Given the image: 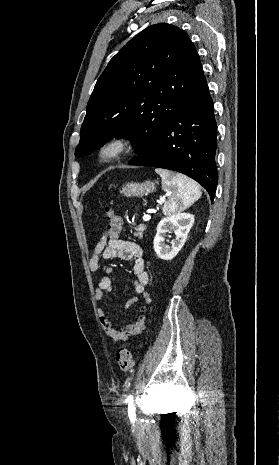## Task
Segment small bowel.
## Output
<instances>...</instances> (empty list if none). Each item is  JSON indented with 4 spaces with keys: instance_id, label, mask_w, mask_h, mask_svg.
Returning <instances> with one entry per match:
<instances>
[{
    "instance_id": "obj_1",
    "label": "small bowel",
    "mask_w": 279,
    "mask_h": 465,
    "mask_svg": "<svg viewBox=\"0 0 279 465\" xmlns=\"http://www.w3.org/2000/svg\"><path fill=\"white\" fill-rule=\"evenodd\" d=\"M118 258L123 261H133V273L136 277L133 286L137 294L143 296L146 303H151L152 298L146 292V286L149 283V275L146 271L145 262L143 259V251L135 242L125 241L119 238H110L104 231L95 245L92 255L89 259V267L92 272H97L100 267V260ZM113 272L111 267L105 269V274L99 279L95 289V299L100 301L104 298L105 293L110 292L113 288L110 274ZM137 302L136 297L130 298L125 308H129ZM146 307L139 308V316L137 320L125 327L115 326L109 315L100 310L99 317L105 335L112 342H124L129 340L131 336H138L145 328Z\"/></svg>"
}]
</instances>
